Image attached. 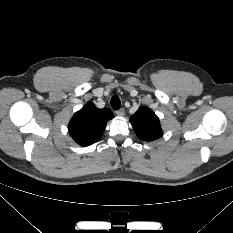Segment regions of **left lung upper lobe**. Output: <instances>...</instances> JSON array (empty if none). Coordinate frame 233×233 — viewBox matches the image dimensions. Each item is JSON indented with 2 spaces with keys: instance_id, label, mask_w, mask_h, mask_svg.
Returning <instances> with one entry per match:
<instances>
[{
  "instance_id": "obj_1",
  "label": "left lung upper lobe",
  "mask_w": 233,
  "mask_h": 233,
  "mask_svg": "<svg viewBox=\"0 0 233 233\" xmlns=\"http://www.w3.org/2000/svg\"><path fill=\"white\" fill-rule=\"evenodd\" d=\"M137 136L145 141H152L162 136V129L156 114L147 107H141L130 118Z\"/></svg>"
}]
</instances>
